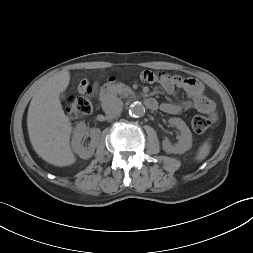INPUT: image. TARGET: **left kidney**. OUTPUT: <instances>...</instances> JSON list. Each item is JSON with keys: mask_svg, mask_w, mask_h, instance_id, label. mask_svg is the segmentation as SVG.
<instances>
[{"mask_svg": "<svg viewBox=\"0 0 253 253\" xmlns=\"http://www.w3.org/2000/svg\"><path fill=\"white\" fill-rule=\"evenodd\" d=\"M168 122L170 125L176 126L180 130L181 135L176 145H171L169 141L164 140L162 142L163 150L169 154H183L192 147L191 131L180 118H170Z\"/></svg>", "mask_w": 253, "mask_h": 253, "instance_id": "obj_1", "label": "left kidney"}]
</instances>
